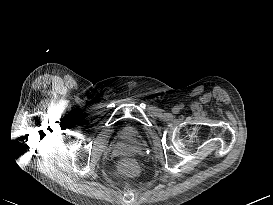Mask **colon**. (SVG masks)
I'll return each mask as SVG.
<instances>
[{
	"mask_svg": "<svg viewBox=\"0 0 273 205\" xmlns=\"http://www.w3.org/2000/svg\"><path fill=\"white\" fill-rule=\"evenodd\" d=\"M119 171L123 176H132L137 171V165L130 160H124L120 166Z\"/></svg>",
	"mask_w": 273,
	"mask_h": 205,
	"instance_id": "colon-1",
	"label": "colon"
}]
</instances>
